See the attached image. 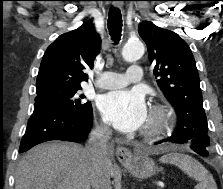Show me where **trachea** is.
I'll return each mask as SVG.
<instances>
[{
  "label": "trachea",
  "mask_w": 223,
  "mask_h": 189,
  "mask_svg": "<svg viewBox=\"0 0 223 189\" xmlns=\"http://www.w3.org/2000/svg\"><path fill=\"white\" fill-rule=\"evenodd\" d=\"M108 30L112 40L117 44L121 38L122 15L118 8L111 7L108 14Z\"/></svg>",
  "instance_id": "3493384b"
}]
</instances>
